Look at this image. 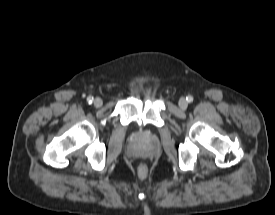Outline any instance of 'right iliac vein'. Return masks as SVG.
<instances>
[{"label":"right iliac vein","mask_w":275,"mask_h":215,"mask_svg":"<svg viewBox=\"0 0 275 215\" xmlns=\"http://www.w3.org/2000/svg\"><path fill=\"white\" fill-rule=\"evenodd\" d=\"M93 104H94L95 107L99 108V107L102 106L103 101H102L101 98H96V99L94 100Z\"/></svg>","instance_id":"63e3f726"}]
</instances>
